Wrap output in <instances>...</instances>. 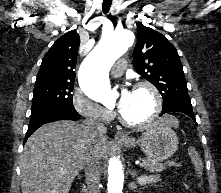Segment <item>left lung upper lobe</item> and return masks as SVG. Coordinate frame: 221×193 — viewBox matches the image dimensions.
Returning <instances> with one entry per match:
<instances>
[{"label": "left lung upper lobe", "mask_w": 221, "mask_h": 193, "mask_svg": "<svg viewBox=\"0 0 221 193\" xmlns=\"http://www.w3.org/2000/svg\"><path fill=\"white\" fill-rule=\"evenodd\" d=\"M137 36L133 51L134 68L159 90L163 107L176 101L190 100L176 48L164 35L142 23L138 24Z\"/></svg>", "instance_id": "1"}]
</instances>
